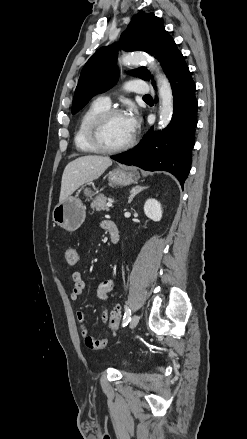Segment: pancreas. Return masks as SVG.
I'll use <instances>...</instances> for the list:
<instances>
[{"instance_id":"obj_1","label":"pancreas","mask_w":247,"mask_h":439,"mask_svg":"<svg viewBox=\"0 0 247 439\" xmlns=\"http://www.w3.org/2000/svg\"><path fill=\"white\" fill-rule=\"evenodd\" d=\"M107 198L103 194H99L95 197V199L91 202V208L97 211L108 210L106 206Z\"/></svg>"}]
</instances>
